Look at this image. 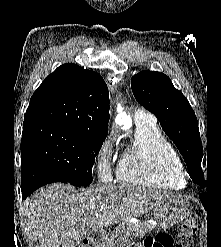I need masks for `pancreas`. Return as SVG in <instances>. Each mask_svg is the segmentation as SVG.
<instances>
[{
	"label": "pancreas",
	"mask_w": 221,
	"mask_h": 247,
	"mask_svg": "<svg viewBox=\"0 0 221 247\" xmlns=\"http://www.w3.org/2000/svg\"><path fill=\"white\" fill-rule=\"evenodd\" d=\"M151 225L143 221L137 224L124 223L116 229L104 247H124L133 237H143Z\"/></svg>",
	"instance_id": "cf45deb5"
}]
</instances>
